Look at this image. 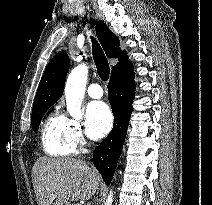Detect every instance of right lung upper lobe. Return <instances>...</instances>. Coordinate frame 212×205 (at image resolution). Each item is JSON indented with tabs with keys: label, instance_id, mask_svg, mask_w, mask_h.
I'll return each instance as SVG.
<instances>
[{
	"label": "right lung upper lobe",
	"instance_id": "1",
	"mask_svg": "<svg viewBox=\"0 0 212 205\" xmlns=\"http://www.w3.org/2000/svg\"><path fill=\"white\" fill-rule=\"evenodd\" d=\"M96 34L106 55L119 60L117 65L112 68V72L130 62L126 51H122L120 48L119 39L102 20L96 22ZM69 64L68 55L64 51L53 57L41 78L33 108L42 105H53L62 96Z\"/></svg>",
	"mask_w": 212,
	"mask_h": 205
}]
</instances>
